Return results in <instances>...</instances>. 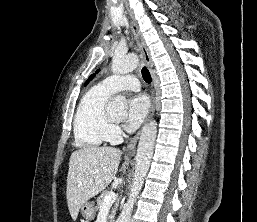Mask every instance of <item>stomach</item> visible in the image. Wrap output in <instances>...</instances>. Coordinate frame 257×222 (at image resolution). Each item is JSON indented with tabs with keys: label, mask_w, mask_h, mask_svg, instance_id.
Returning a JSON list of instances; mask_svg holds the SVG:
<instances>
[{
	"label": "stomach",
	"mask_w": 257,
	"mask_h": 222,
	"mask_svg": "<svg viewBox=\"0 0 257 222\" xmlns=\"http://www.w3.org/2000/svg\"><path fill=\"white\" fill-rule=\"evenodd\" d=\"M80 211L83 218L92 220L95 217L96 208L92 202L87 201L80 207Z\"/></svg>",
	"instance_id": "obj_1"
}]
</instances>
